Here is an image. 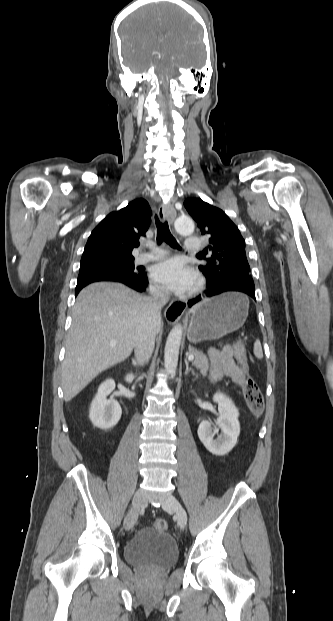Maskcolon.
Listing matches in <instances>:
<instances>
[{
    "instance_id": "colon-1",
    "label": "colon",
    "mask_w": 333,
    "mask_h": 621,
    "mask_svg": "<svg viewBox=\"0 0 333 621\" xmlns=\"http://www.w3.org/2000/svg\"><path fill=\"white\" fill-rule=\"evenodd\" d=\"M234 355L243 372L247 375L243 388L247 406L254 415H259L263 411L264 407L263 394L257 383L248 375L245 346L243 344H237L234 349ZM154 527L156 529L166 531L168 529V522L164 518H157L154 521Z\"/></svg>"
}]
</instances>
